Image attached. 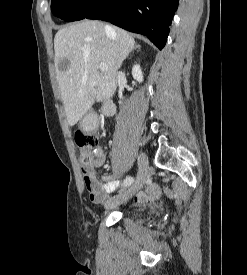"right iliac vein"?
I'll list each match as a JSON object with an SVG mask.
<instances>
[{
    "label": "right iliac vein",
    "mask_w": 247,
    "mask_h": 275,
    "mask_svg": "<svg viewBox=\"0 0 247 275\" xmlns=\"http://www.w3.org/2000/svg\"><path fill=\"white\" fill-rule=\"evenodd\" d=\"M138 164L139 171L135 181L129 186L127 190L108 200L106 203L107 208L116 207L117 205L127 201L136 191L142 188L149 175L148 159L145 154H141L138 157Z\"/></svg>",
    "instance_id": "63e3f726"
}]
</instances>
